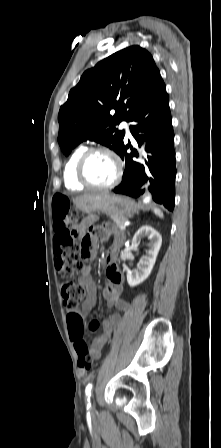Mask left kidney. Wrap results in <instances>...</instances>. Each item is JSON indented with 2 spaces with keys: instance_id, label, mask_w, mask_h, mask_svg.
I'll list each match as a JSON object with an SVG mask.
<instances>
[{
  "instance_id": "5707ae66",
  "label": "left kidney",
  "mask_w": 221,
  "mask_h": 448,
  "mask_svg": "<svg viewBox=\"0 0 221 448\" xmlns=\"http://www.w3.org/2000/svg\"><path fill=\"white\" fill-rule=\"evenodd\" d=\"M145 236L150 240L149 249L146 251L143 259L140 260L137 268L133 272H127V282L131 287L142 283L150 275L162 244L160 233L151 226L144 225L135 233L132 239V245L136 247L139 240Z\"/></svg>"
}]
</instances>
